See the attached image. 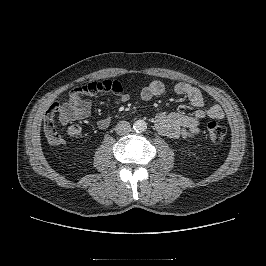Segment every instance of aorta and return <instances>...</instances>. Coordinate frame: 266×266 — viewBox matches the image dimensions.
Here are the masks:
<instances>
[{
  "label": "aorta",
  "mask_w": 266,
  "mask_h": 266,
  "mask_svg": "<svg viewBox=\"0 0 266 266\" xmlns=\"http://www.w3.org/2000/svg\"><path fill=\"white\" fill-rule=\"evenodd\" d=\"M133 129L137 133L144 132L147 129V124H146V122L144 120H141V119L137 120L133 124Z\"/></svg>",
  "instance_id": "1"
}]
</instances>
